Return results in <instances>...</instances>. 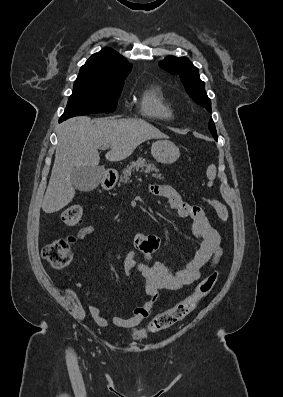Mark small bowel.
I'll return each instance as SVG.
<instances>
[{
  "label": "small bowel",
  "mask_w": 283,
  "mask_h": 397,
  "mask_svg": "<svg viewBox=\"0 0 283 397\" xmlns=\"http://www.w3.org/2000/svg\"><path fill=\"white\" fill-rule=\"evenodd\" d=\"M149 190L153 195L164 198L178 216L191 220V231L197 240L198 247L183 268L172 270L161 262L152 261V255L160 248L158 236L143 233L135 236L136 251L126 254L124 269L128 275L137 274L143 278V288L147 299L140 307L134 309L131 316L111 317L110 321L113 325L125 329L137 327L150 316L161 290H178L194 283L200 278L203 268L214 267L222 255L220 234L217 228L209 223L203 208L185 202L171 186L152 184ZM94 230L93 225H87L78 232L77 236L83 240ZM137 252L141 254L142 260L137 259ZM90 313L98 325L101 327L108 325V320L99 307L91 305Z\"/></svg>",
  "instance_id": "1"
}]
</instances>
